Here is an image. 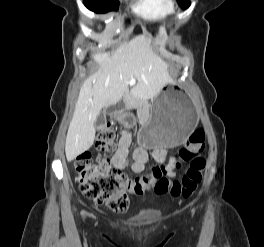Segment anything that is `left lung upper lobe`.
<instances>
[{
    "label": "left lung upper lobe",
    "instance_id": "5c2ea615",
    "mask_svg": "<svg viewBox=\"0 0 264 247\" xmlns=\"http://www.w3.org/2000/svg\"><path fill=\"white\" fill-rule=\"evenodd\" d=\"M180 6L184 9L188 8L190 6L189 0H177Z\"/></svg>",
    "mask_w": 264,
    "mask_h": 247
}]
</instances>
